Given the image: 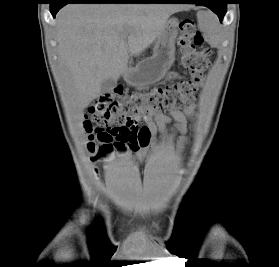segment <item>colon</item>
Returning <instances> with one entry per match:
<instances>
[{"mask_svg": "<svg viewBox=\"0 0 279 267\" xmlns=\"http://www.w3.org/2000/svg\"><path fill=\"white\" fill-rule=\"evenodd\" d=\"M203 37L191 19L179 22L178 46L181 66L191 79L145 92L124 94L121 87L104 93L92 104L85 120L89 134L88 148L95 159L107 158L114 148L124 150L128 144L144 143L146 130L137 132L134 122L150 113H165L186 107L196 96L209 66L210 51L203 48Z\"/></svg>", "mask_w": 279, "mask_h": 267, "instance_id": "obj_1", "label": "colon"}]
</instances>
